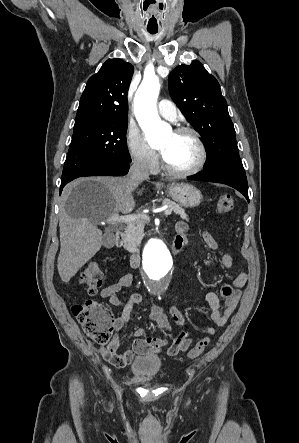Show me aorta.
I'll return each mask as SVG.
<instances>
[{
  "label": "aorta",
  "instance_id": "aorta-1",
  "mask_svg": "<svg viewBox=\"0 0 299 443\" xmlns=\"http://www.w3.org/2000/svg\"><path fill=\"white\" fill-rule=\"evenodd\" d=\"M160 91L157 76L145 77L134 97V114L150 145L159 144L170 132V126L163 122L157 112L156 102ZM173 265L172 256L166 244L159 238H151L144 250L143 269L152 280V291L162 292L161 282Z\"/></svg>",
  "mask_w": 299,
  "mask_h": 443
}]
</instances>
